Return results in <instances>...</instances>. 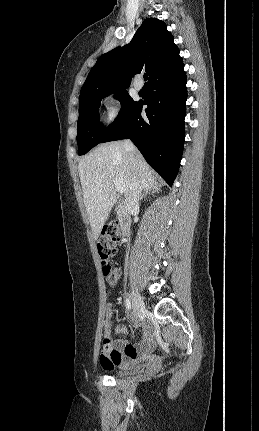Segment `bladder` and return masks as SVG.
<instances>
[{
  "mask_svg": "<svg viewBox=\"0 0 259 431\" xmlns=\"http://www.w3.org/2000/svg\"><path fill=\"white\" fill-rule=\"evenodd\" d=\"M139 368L137 366H131L127 368H120L112 371V374L116 377H124L128 375L135 374L138 372Z\"/></svg>",
  "mask_w": 259,
  "mask_h": 431,
  "instance_id": "obj_1",
  "label": "bladder"
}]
</instances>
